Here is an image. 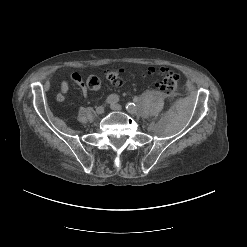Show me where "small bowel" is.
<instances>
[{"mask_svg": "<svg viewBox=\"0 0 247 247\" xmlns=\"http://www.w3.org/2000/svg\"><path fill=\"white\" fill-rule=\"evenodd\" d=\"M123 72V70H119L117 71L116 73L119 75V73ZM69 79L71 81H73L75 84H77L81 89H82V93L83 95L86 97L87 96V88H86V84L82 78V76L77 73V72H74L72 74L69 75ZM120 82L117 83V85H119ZM68 90H69V83L68 81H62L61 85H60V91L59 93L57 94L56 96V99L59 101V102H62L66 99V95L68 93Z\"/></svg>", "mask_w": 247, "mask_h": 247, "instance_id": "1", "label": "small bowel"}]
</instances>
